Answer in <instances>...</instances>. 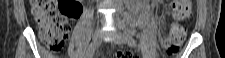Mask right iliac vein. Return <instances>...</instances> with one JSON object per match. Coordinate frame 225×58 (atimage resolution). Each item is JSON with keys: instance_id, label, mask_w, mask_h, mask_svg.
Wrapping results in <instances>:
<instances>
[{"instance_id": "1", "label": "right iliac vein", "mask_w": 225, "mask_h": 58, "mask_svg": "<svg viewBox=\"0 0 225 58\" xmlns=\"http://www.w3.org/2000/svg\"><path fill=\"white\" fill-rule=\"evenodd\" d=\"M99 44H100V33L97 30L93 35L90 47L92 48V50L95 51L97 47L99 46Z\"/></svg>"}]
</instances>
